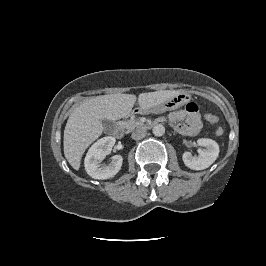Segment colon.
<instances>
[{"instance_id": "obj_1", "label": "colon", "mask_w": 266, "mask_h": 266, "mask_svg": "<svg viewBox=\"0 0 266 266\" xmlns=\"http://www.w3.org/2000/svg\"><path fill=\"white\" fill-rule=\"evenodd\" d=\"M205 120L209 123V124H215L217 123V116L211 113H207L205 114ZM224 133V130L222 127H217L216 128V134L217 135H222Z\"/></svg>"}]
</instances>
